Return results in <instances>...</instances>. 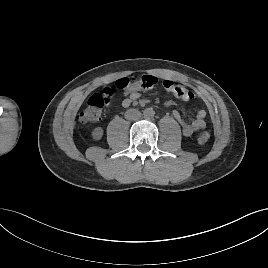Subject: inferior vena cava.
<instances>
[{
    "label": "inferior vena cava",
    "mask_w": 268,
    "mask_h": 268,
    "mask_svg": "<svg viewBox=\"0 0 268 268\" xmlns=\"http://www.w3.org/2000/svg\"><path fill=\"white\" fill-rule=\"evenodd\" d=\"M141 117L140 111L136 109H129L125 112V118L127 120H138Z\"/></svg>",
    "instance_id": "inferior-vena-cava-1"
}]
</instances>
